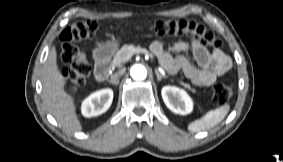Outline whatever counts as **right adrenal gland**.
Wrapping results in <instances>:
<instances>
[{
    "mask_svg": "<svg viewBox=\"0 0 283 162\" xmlns=\"http://www.w3.org/2000/svg\"><path fill=\"white\" fill-rule=\"evenodd\" d=\"M108 82H109L110 84H113V85H116V86L119 84V82H114V81H112V80H109Z\"/></svg>",
    "mask_w": 283,
    "mask_h": 162,
    "instance_id": "1",
    "label": "right adrenal gland"
}]
</instances>
